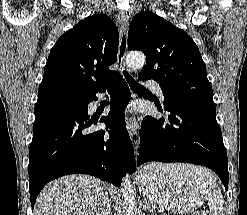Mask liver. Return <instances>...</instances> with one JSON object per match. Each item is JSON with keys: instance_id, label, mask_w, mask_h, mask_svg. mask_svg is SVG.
Returning a JSON list of instances; mask_svg holds the SVG:
<instances>
[{"instance_id": "6515ba94", "label": "liver", "mask_w": 247, "mask_h": 215, "mask_svg": "<svg viewBox=\"0 0 247 215\" xmlns=\"http://www.w3.org/2000/svg\"><path fill=\"white\" fill-rule=\"evenodd\" d=\"M108 199L103 181L89 175H70L43 189L35 215H103Z\"/></svg>"}]
</instances>
